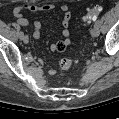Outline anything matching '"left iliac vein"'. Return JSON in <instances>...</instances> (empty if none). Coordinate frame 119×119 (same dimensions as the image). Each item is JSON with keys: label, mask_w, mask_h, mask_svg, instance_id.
Segmentation results:
<instances>
[{"label": "left iliac vein", "mask_w": 119, "mask_h": 119, "mask_svg": "<svg viewBox=\"0 0 119 119\" xmlns=\"http://www.w3.org/2000/svg\"><path fill=\"white\" fill-rule=\"evenodd\" d=\"M100 34V29H99V26L98 25H95L94 28L92 29L91 31V35L93 37H98Z\"/></svg>", "instance_id": "left-iliac-vein-1"}]
</instances>
